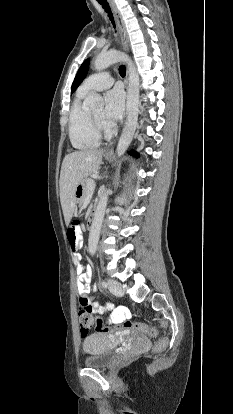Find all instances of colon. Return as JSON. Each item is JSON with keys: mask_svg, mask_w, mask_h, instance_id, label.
<instances>
[{"mask_svg": "<svg viewBox=\"0 0 233 414\" xmlns=\"http://www.w3.org/2000/svg\"><path fill=\"white\" fill-rule=\"evenodd\" d=\"M78 223L73 222L68 227L67 236L72 252L78 251L81 244V236L78 235ZM78 318L80 323V332L84 337L91 329H95L99 333L115 334L122 331H134L151 337L157 336V330L142 322H134L125 320L121 326L109 328L103 325L102 320L93 315V309L85 297H80L78 303Z\"/></svg>", "mask_w": 233, "mask_h": 414, "instance_id": "5ec220e1", "label": "colon"}]
</instances>
